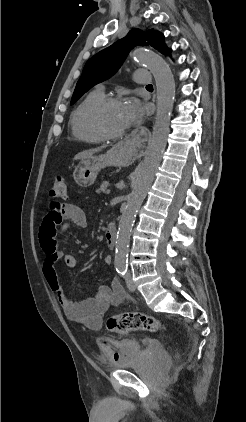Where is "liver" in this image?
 I'll use <instances>...</instances> for the list:
<instances>
[{"instance_id": "liver-1", "label": "liver", "mask_w": 246, "mask_h": 422, "mask_svg": "<svg viewBox=\"0 0 246 422\" xmlns=\"http://www.w3.org/2000/svg\"><path fill=\"white\" fill-rule=\"evenodd\" d=\"M103 148H105V146L98 147L96 149H90V150L82 151L74 157V160H83V159H86L88 157H91L93 154L101 151Z\"/></svg>"}]
</instances>
